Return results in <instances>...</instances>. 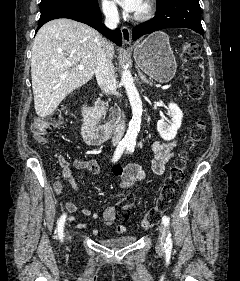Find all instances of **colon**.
I'll use <instances>...</instances> for the list:
<instances>
[{
  "instance_id": "colon-1",
  "label": "colon",
  "mask_w": 240,
  "mask_h": 281,
  "mask_svg": "<svg viewBox=\"0 0 240 281\" xmlns=\"http://www.w3.org/2000/svg\"><path fill=\"white\" fill-rule=\"evenodd\" d=\"M184 84L188 95L192 100H199L203 95L204 83V64L201 57L200 46L192 41L186 40L181 51ZM63 111L56 110L45 118L36 119L32 125V131L39 142H44L47 135L54 129L63 124ZM206 135V125L204 120H197L190 130L187 145L192 148L197 142L204 139ZM188 159V151H183L175 161L174 165L165 178L160 196L156 204L145 214L141 220V226L149 228L155 225L160 216L168 209L171 200L179 183L184 178ZM131 199H124L118 202L115 208V217L120 222H126L130 216Z\"/></svg>"
}]
</instances>
